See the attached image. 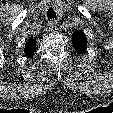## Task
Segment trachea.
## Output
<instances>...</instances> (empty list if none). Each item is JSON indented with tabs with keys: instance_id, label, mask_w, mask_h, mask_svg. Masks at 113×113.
Wrapping results in <instances>:
<instances>
[{
	"instance_id": "3493384b",
	"label": "trachea",
	"mask_w": 113,
	"mask_h": 113,
	"mask_svg": "<svg viewBox=\"0 0 113 113\" xmlns=\"http://www.w3.org/2000/svg\"><path fill=\"white\" fill-rule=\"evenodd\" d=\"M47 17H48V20H50V19H56V13L53 10V8H49L48 9V11H47Z\"/></svg>"
}]
</instances>
